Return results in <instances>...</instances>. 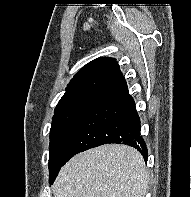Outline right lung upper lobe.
Instances as JSON below:
<instances>
[{
    "instance_id": "obj_1",
    "label": "right lung upper lobe",
    "mask_w": 191,
    "mask_h": 197,
    "mask_svg": "<svg viewBox=\"0 0 191 197\" xmlns=\"http://www.w3.org/2000/svg\"><path fill=\"white\" fill-rule=\"evenodd\" d=\"M125 83L114 58L95 59L71 79L55 108V114L76 108L94 107L107 94Z\"/></svg>"
}]
</instances>
